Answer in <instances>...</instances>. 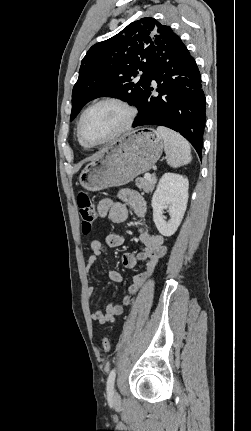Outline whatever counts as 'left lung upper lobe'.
<instances>
[{"instance_id":"obj_1","label":"left lung upper lobe","mask_w":251,"mask_h":431,"mask_svg":"<svg viewBox=\"0 0 251 431\" xmlns=\"http://www.w3.org/2000/svg\"><path fill=\"white\" fill-rule=\"evenodd\" d=\"M172 34L169 26L147 17L93 45L82 60L72 91L70 120L89 101L111 94L138 108L148 84L152 57Z\"/></svg>"}]
</instances>
